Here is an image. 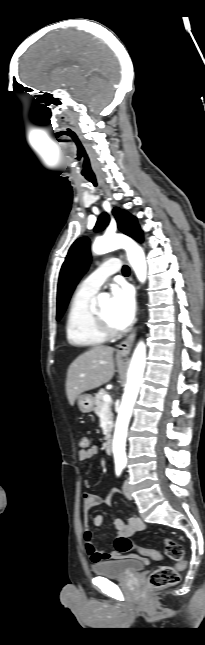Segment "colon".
<instances>
[{
  "mask_svg": "<svg viewBox=\"0 0 205 645\" xmlns=\"http://www.w3.org/2000/svg\"><path fill=\"white\" fill-rule=\"evenodd\" d=\"M78 445L81 450H88L91 446L90 440L86 436H80ZM165 553L175 562L174 566H161L154 570L148 576V584L151 588L161 589L176 585L180 580V572L186 567V560L184 558V550L182 546L171 538H166ZM114 548L119 553H128L133 550L144 558L158 560L161 554L152 549L141 548L134 546L132 540L128 537H117L114 541Z\"/></svg>",
  "mask_w": 205,
  "mask_h": 645,
  "instance_id": "1",
  "label": "colon"
}]
</instances>
